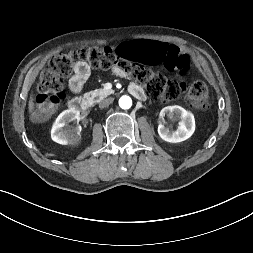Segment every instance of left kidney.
Masks as SVG:
<instances>
[{"label": "left kidney", "instance_id": "1", "mask_svg": "<svg viewBox=\"0 0 253 253\" xmlns=\"http://www.w3.org/2000/svg\"><path fill=\"white\" fill-rule=\"evenodd\" d=\"M167 115L171 119L179 120L177 130L173 131L161 123L158 134L162 140L169 143H178L190 138L195 131L194 115L180 106H167L160 112V118Z\"/></svg>", "mask_w": 253, "mask_h": 253}]
</instances>
